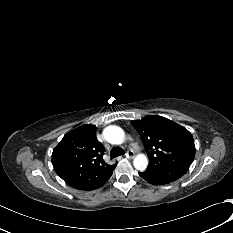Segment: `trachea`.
Here are the masks:
<instances>
[{
    "instance_id": "trachea-1",
    "label": "trachea",
    "mask_w": 233,
    "mask_h": 233,
    "mask_svg": "<svg viewBox=\"0 0 233 233\" xmlns=\"http://www.w3.org/2000/svg\"><path fill=\"white\" fill-rule=\"evenodd\" d=\"M123 154H125V151L121 147H113L112 150L110 151L111 158H116Z\"/></svg>"
}]
</instances>
